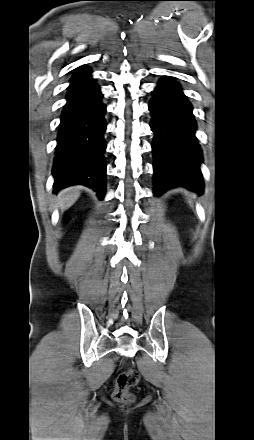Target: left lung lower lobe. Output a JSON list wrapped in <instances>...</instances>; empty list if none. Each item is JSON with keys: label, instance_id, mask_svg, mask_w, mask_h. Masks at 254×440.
<instances>
[{"label": "left lung lower lobe", "instance_id": "obj_1", "mask_svg": "<svg viewBox=\"0 0 254 440\" xmlns=\"http://www.w3.org/2000/svg\"><path fill=\"white\" fill-rule=\"evenodd\" d=\"M154 132V181L156 192L182 186L203 192L202 154L196 140L192 106L173 77L162 79L149 103Z\"/></svg>", "mask_w": 254, "mask_h": 440}]
</instances>
